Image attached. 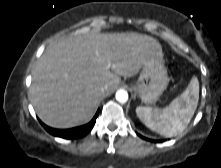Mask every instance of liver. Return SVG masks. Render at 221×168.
<instances>
[{"label": "liver", "instance_id": "liver-1", "mask_svg": "<svg viewBox=\"0 0 221 168\" xmlns=\"http://www.w3.org/2000/svg\"><path fill=\"white\" fill-rule=\"evenodd\" d=\"M156 55L162 56L160 43L134 32L91 33L58 41L32 70V105L48 126L64 129L85 124L103 96V86H108L106 92L113 91L121 76L136 75Z\"/></svg>", "mask_w": 221, "mask_h": 168}]
</instances>
